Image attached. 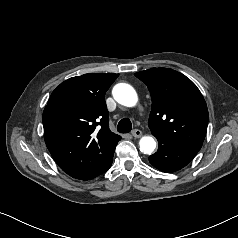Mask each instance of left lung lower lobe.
I'll return each instance as SVG.
<instances>
[{
    "label": "left lung lower lobe",
    "instance_id": "left-lung-lower-lobe-1",
    "mask_svg": "<svg viewBox=\"0 0 238 238\" xmlns=\"http://www.w3.org/2000/svg\"><path fill=\"white\" fill-rule=\"evenodd\" d=\"M196 154L192 150L159 143L158 151L149 157V162L157 169L171 173L185 167Z\"/></svg>",
    "mask_w": 238,
    "mask_h": 238
}]
</instances>
